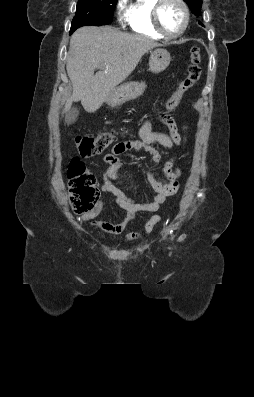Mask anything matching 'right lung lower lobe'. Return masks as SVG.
Listing matches in <instances>:
<instances>
[{"instance_id": "98d812e1", "label": "right lung lower lobe", "mask_w": 254, "mask_h": 397, "mask_svg": "<svg viewBox=\"0 0 254 397\" xmlns=\"http://www.w3.org/2000/svg\"><path fill=\"white\" fill-rule=\"evenodd\" d=\"M75 30H76V29H72V30L70 31V34H72Z\"/></svg>"}]
</instances>
